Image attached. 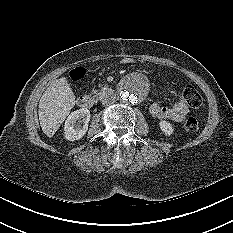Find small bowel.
<instances>
[{"label":"small bowel","instance_id":"1","mask_svg":"<svg viewBox=\"0 0 233 233\" xmlns=\"http://www.w3.org/2000/svg\"><path fill=\"white\" fill-rule=\"evenodd\" d=\"M151 115L157 120H171L174 122L183 121L189 113V108L185 99L179 96L178 101L170 106H161L158 103H153L150 106Z\"/></svg>","mask_w":233,"mask_h":233}]
</instances>
